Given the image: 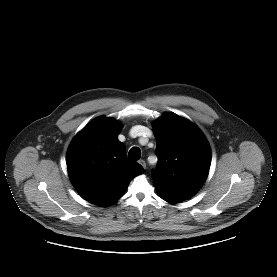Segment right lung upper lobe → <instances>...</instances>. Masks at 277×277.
<instances>
[{
  "label": "right lung upper lobe",
  "instance_id": "cb5924a9",
  "mask_svg": "<svg viewBox=\"0 0 277 277\" xmlns=\"http://www.w3.org/2000/svg\"><path fill=\"white\" fill-rule=\"evenodd\" d=\"M118 121L97 117L72 140L66 156L73 186L87 201L109 206L125 193L131 179L144 172L127 159L125 145L117 139Z\"/></svg>",
  "mask_w": 277,
  "mask_h": 277
}]
</instances>
